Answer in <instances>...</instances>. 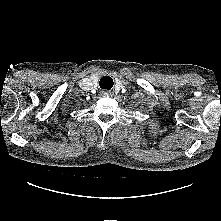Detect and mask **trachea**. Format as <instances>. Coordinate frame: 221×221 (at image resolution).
Returning a JSON list of instances; mask_svg holds the SVG:
<instances>
[{
	"label": "trachea",
	"mask_w": 221,
	"mask_h": 221,
	"mask_svg": "<svg viewBox=\"0 0 221 221\" xmlns=\"http://www.w3.org/2000/svg\"><path fill=\"white\" fill-rule=\"evenodd\" d=\"M99 85L102 89H111L113 87V79L110 76H104L99 81Z\"/></svg>",
	"instance_id": "3493384b"
}]
</instances>
